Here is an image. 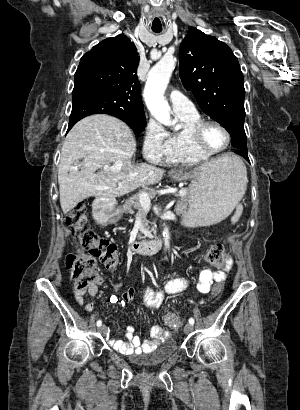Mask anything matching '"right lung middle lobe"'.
I'll list each match as a JSON object with an SVG mask.
<instances>
[{
	"label": "right lung middle lobe",
	"instance_id": "1",
	"mask_svg": "<svg viewBox=\"0 0 300 410\" xmlns=\"http://www.w3.org/2000/svg\"><path fill=\"white\" fill-rule=\"evenodd\" d=\"M115 98L92 85H76L72 92V111L68 130L80 119L95 113H106L126 122L136 132L144 131L145 117H124L116 112Z\"/></svg>",
	"mask_w": 300,
	"mask_h": 410
}]
</instances>
